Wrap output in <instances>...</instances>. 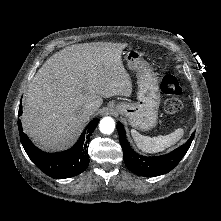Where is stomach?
<instances>
[{
	"mask_svg": "<svg viewBox=\"0 0 221 221\" xmlns=\"http://www.w3.org/2000/svg\"><path fill=\"white\" fill-rule=\"evenodd\" d=\"M141 56L140 52L129 50L124 57L128 68L136 71L138 75V102H120L115 106V110L127 117L132 127L146 131L157 123L161 96L158 79Z\"/></svg>",
	"mask_w": 221,
	"mask_h": 221,
	"instance_id": "obj_1",
	"label": "stomach"
}]
</instances>
